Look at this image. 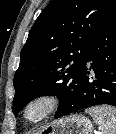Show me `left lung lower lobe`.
I'll return each mask as SVG.
<instances>
[{
	"instance_id": "obj_1",
	"label": "left lung lower lobe",
	"mask_w": 116,
	"mask_h": 134,
	"mask_svg": "<svg viewBox=\"0 0 116 134\" xmlns=\"http://www.w3.org/2000/svg\"><path fill=\"white\" fill-rule=\"evenodd\" d=\"M102 104L116 107V3L88 46L74 97L58 108L55 119Z\"/></svg>"
}]
</instances>
